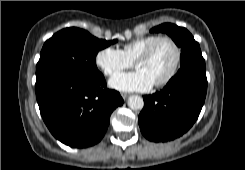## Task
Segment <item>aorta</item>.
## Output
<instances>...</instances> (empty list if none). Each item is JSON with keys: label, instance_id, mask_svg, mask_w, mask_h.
<instances>
[{"label": "aorta", "instance_id": "obj_1", "mask_svg": "<svg viewBox=\"0 0 245 170\" xmlns=\"http://www.w3.org/2000/svg\"><path fill=\"white\" fill-rule=\"evenodd\" d=\"M128 106L132 110H140L144 106L143 98L138 95H132L128 99Z\"/></svg>", "mask_w": 245, "mask_h": 170}]
</instances>
